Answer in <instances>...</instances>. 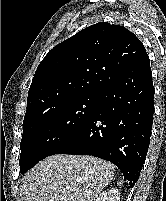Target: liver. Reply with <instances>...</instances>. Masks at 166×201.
<instances>
[{"label": "liver", "mask_w": 166, "mask_h": 201, "mask_svg": "<svg viewBox=\"0 0 166 201\" xmlns=\"http://www.w3.org/2000/svg\"><path fill=\"white\" fill-rule=\"evenodd\" d=\"M114 178V166L93 156L55 154L22 179L24 201H95Z\"/></svg>", "instance_id": "liver-1"}]
</instances>
